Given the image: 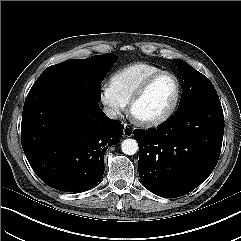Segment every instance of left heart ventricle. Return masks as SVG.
<instances>
[{
    "instance_id": "1",
    "label": "left heart ventricle",
    "mask_w": 241,
    "mask_h": 241,
    "mask_svg": "<svg viewBox=\"0 0 241 241\" xmlns=\"http://www.w3.org/2000/svg\"><path fill=\"white\" fill-rule=\"evenodd\" d=\"M176 94V82L171 76L159 78L137 103L134 112L142 119L162 115L172 104Z\"/></svg>"
}]
</instances>
